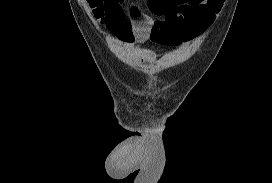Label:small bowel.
Returning a JSON list of instances; mask_svg holds the SVG:
<instances>
[{"label":"small bowel","instance_id":"obj_1","mask_svg":"<svg viewBox=\"0 0 272 183\" xmlns=\"http://www.w3.org/2000/svg\"><path fill=\"white\" fill-rule=\"evenodd\" d=\"M155 17L128 0H106L102 18L115 37L129 45L151 39L161 45L188 41L212 24L223 0H149Z\"/></svg>","mask_w":272,"mask_h":183}]
</instances>
